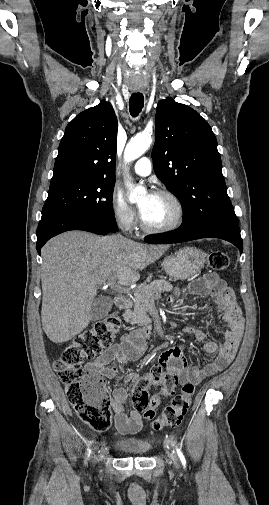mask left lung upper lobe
<instances>
[{"label": "left lung upper lobe", "mask_w": 269, "mask_h": 505, "mask_svg": "<svg viewBox=\"0 0 269 505\" xmlns=\"http://www.w3.org/2000/svg\"><path fill=\"white\" fill-rule=\"evenodd\" d=\"M155 132L154 170L182 204L184 220L179 228L237 222L210 125L189 106L167 97L157 105Z\"/></svg>", "instance_id": "5c2ea615"}]
</instances>
